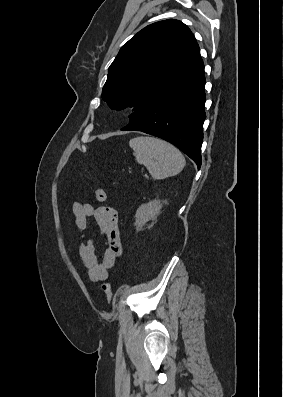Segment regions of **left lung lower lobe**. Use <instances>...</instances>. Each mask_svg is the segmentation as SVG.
<instances>
[{
  "mask_svg": "<svg viewBox=\"0 0 283 397\" xmlns=\"http://www.w3.org/2000/svg\"><path fill=\"white\" fill-rule=\"evenodd\" d=\"M204 67L150 105L121 130L142 131L162 138L201 166L203 122L206 118Z\"/></svg>",
  "mask_w": 283,
  "mask_h": 397,
  "instance_id": "obj_1",
  "label": "left lung lower lobe"
}]
</instances>
